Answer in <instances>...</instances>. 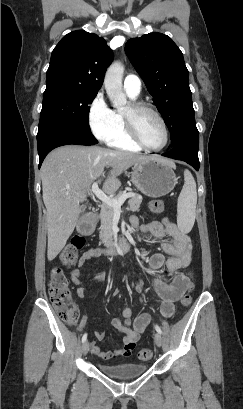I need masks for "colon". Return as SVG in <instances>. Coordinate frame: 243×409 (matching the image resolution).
Segmentation results:
<instances>
[{
  "mask_svg": "<svg viewBox=\"0 0 243 409\" xmlns=\"http://www.w3.org/2000/svg\"><path fill=\"white\" fill-rule=\"evenodd\" d=\"M149 207L155 214L161 213L164 209L161 200H152ZM85 243L86 240L83 236H74L59 255L62 264L67 267L72 266L76 262L78 251L84 248ZM188 287L192 288L193 284L190 282ZM48 293L57 316L62 321L70 325H75L79 319V311L72 300L67 278L63 270L59 267H54L49 271ZM191 302L192 297L189 293L184 294L180 301L183 307H188ZM151 355L152 353L149 349H141L139 351V358L142 360H149Z\"/></svg>",
  "mask_w": 243,
  "mask_h": 409,
  "instance_id": "5ec220e1",
  "label": "colon"
}]
</instances>
